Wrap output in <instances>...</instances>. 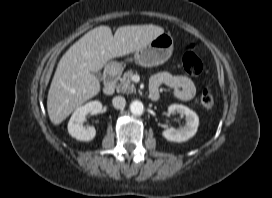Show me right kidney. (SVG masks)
Here are the masks:
<instances>
[{"label": "right kidney", "mask_w": 272, "mask_h": 198, "mask_svg": "<svg viewBox=\"0 0 272 198\" xmlns=\"http://www.w3.org/2000/svg\"><path fill=\"white\" fill-rule=\"evenodd\" d=\"M101 111L102 103L100 101H91L78 107L69 120V134L80 141H91L96 135V130L91 126L85 127L83 123L86 121L88 114L96 115Z\"/></svg>", "instance_id": "obj_1"}]
</instances>
